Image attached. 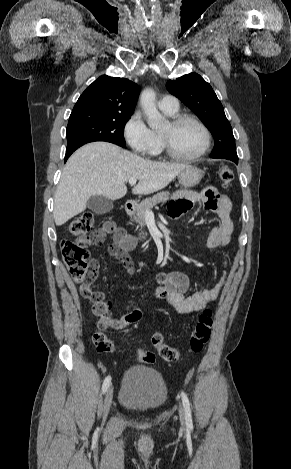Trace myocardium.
<instances>
[{"label": "myocardium", "mask_w": 291, "mask_h": 469, "mask_svg": "<svg viewBox=\"0 0 291 469\" xmlns=\"http://www.w3.org/2000/svg\"><path fill=\"white\" fill-rule=\"evenodd\" d=\"M185 121H191L195 123L203 132L204 143H203L201 150L198 153L192 156H181L174 151L169 138L165 134L160 133V138H161L163 151L168 157H170L173 160L180 161V162H193L203 157L209 150L210 145H211V133L208 127L198 117L191 115V114H176L171 118L169 124L172 127H176Z\"/></svg>", "instance_id": "f54148a6"}]
</instances>
